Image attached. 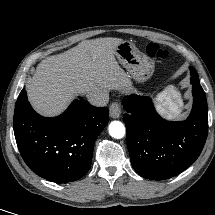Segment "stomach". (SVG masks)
Instances as JSON below:
<instances>
[{
  "label": "stomach",
  "instance_id": "stomach-1",
  "mask_svg": "<svg viewBox=\"0 0 215 215\" xmlns=\"http://www.w3.org/2000/svg\"><path fill=\"white\" fill-rule=\"evenodd\" d=\"M115 56L128 71L131 78L139 83L145 82L154 72V62L129 41L121 42L115 49ZM170 116L177 113L167 109Z\"/></svg>",
  "mask_w": 215,
  "mask_h": 215
}]
</instances>
